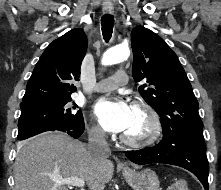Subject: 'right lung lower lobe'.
<instances>
[{
  "label": "right lung lower lobe",
  "instance_id": "98d812e1",
  "mask_svg": "<svg viewBox=\"0 0 221 190\" xmlns=\"http://www.w3.org/2000/svg\"><path fill=\"white\" fill-rule=\"evenodd\" d=\"M84 129H85V126L83 124L81 127L77 128V129H72V130H52V131L66 132L67 134H69L73 138H78L84 132Z\"/></svg>",
  "mask_w": 221,
  "mask_h": 190
}]
</instances>
